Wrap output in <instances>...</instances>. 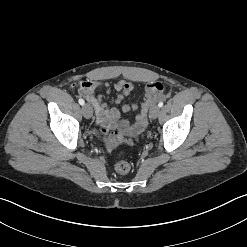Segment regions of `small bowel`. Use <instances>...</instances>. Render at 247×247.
Returning <instances> with one entry per match:
<instances>
[{
  "label": "small bowel",
  "mask_w": 247,
  "mask_h": 247,
  "mask_svg": "<svg viewBox=\"0 0 247 247\" xmlns=\"http://www.w3.org/2000/svg\"><path fill=\"white\" fill-rule=\"evenodd\" d=\"M97 90L104 91L107 95L114 91L116 97L112 100V103L119 104L135 90V86L126 80H120L114 85H111L109 82L97 80H85L79 83V94L94 109L97 123L101 126L102 132L106 134L108 130H116L109 141V146L111 147L121 141L123 136L136 138L141 134L147 123L148 109L153 101L163 93V85L158 82L148 84L145 87L141 102L124 104L122 106L123 112L140 110L135 122L132 124L127 120H122L121 111L116 107H110L104 101L103 95H96Z\"/></svg>",
  "instance_id": "small-bowel-1"
}]
</instances>
